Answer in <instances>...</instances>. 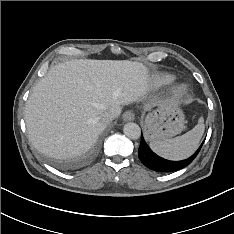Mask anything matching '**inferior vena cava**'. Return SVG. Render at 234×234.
I'll use <instances>...</instances> for the list:
<instances>
[{"mask_svg":"<svg viewBox=\"0 0 234 234\" xmlns=\"http://www.w3.org/2000/svg\"><path fill=\"white\" fill-rule=\"evenodd\" d=\"M120 114L119 110L114 111H106L100 116V121L107 125L109 122H111L114 118L118 117Z\"/></svg>","mask_w":234,"mask_h":234,"instance_id":"obj_1","label":"inferior vena cava"}]
</instances>
